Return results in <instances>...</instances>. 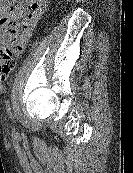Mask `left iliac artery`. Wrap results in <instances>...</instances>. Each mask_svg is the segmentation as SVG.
<instances>
[{"instance_id": "44dca946", "label": "left iliac artery", "mask_w": 133, "mask_h": 173, "mask_svg": "<svg viewBox=\"0 0 133 173\" xmlns=\"http://www.w3.org/2000/svg\"><path fill=\"white\" fill-rule=\"evenodd\" d=\"M8 112H9L10 116H12L11 111H10V108L8 109Z\"/></svg>"}]
</instances>
